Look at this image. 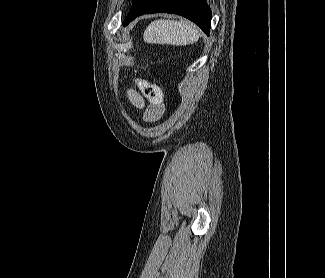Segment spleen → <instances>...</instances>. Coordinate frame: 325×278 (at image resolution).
Returning <instances> with one entry per match:
<instances>
[{
    "mask_svg": "<svg viewBox=\"0 0 325 278\" xmlns=\"http://www.w3.org/2000/svg\"><path fill=\"white\" fill-rule=\"evenodd\" d=\"M143 38L146 43L184 46L196 42L199 33L189 21L159 19L146 28Z\"/></svg>",
    "mask_w": 325,
    "mask_h": 278,
    "instance_id": "1",
    "label": "spleen"
}]
</instances>
